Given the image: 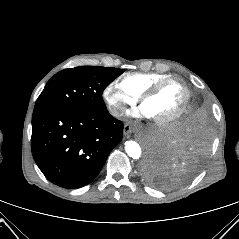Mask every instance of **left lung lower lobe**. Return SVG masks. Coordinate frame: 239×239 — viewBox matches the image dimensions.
Returning a JSON list of instances; mask_svg holds the SVG:
<instances>
[{"label": "left lung lower lobe", "instance_id": "obj_1", "mask_svg": "<svg viewBox=\"0 0 239 239\" xmlns=\"http://www.w3.org/2000/svg\"><path fill=\"white\" fill-rule=\"evenodd\" d=\"M210 142L208 111L194 102L169 133L150 146L142 166L145 178L163 189L186 183L199 171Z\"/></svg>", "mask_w": 239, "mask_h": 239}]
</instances>
